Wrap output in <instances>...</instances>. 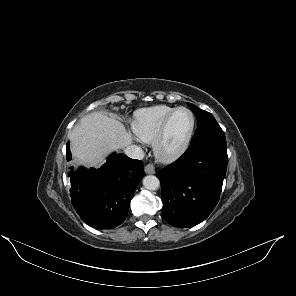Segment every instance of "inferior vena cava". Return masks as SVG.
<instances>
[{"label":"inferior vena cava","mask_w":296,"mask_h":296,"mask_svg":"<svg viewBox=\"0 0 296 296\" xmlns=\"http://www.w3.org/2000/svg\"><path fill=\"white\" fill-rule=\"evenodd\" d=\"M125 154L132 159L138 160H142L145 156L144 151L136 145L126 147Z\"/></svg>","instance_id":"inferior-vena-cava-1"}]
</instances>
